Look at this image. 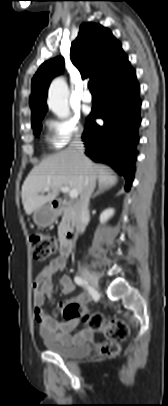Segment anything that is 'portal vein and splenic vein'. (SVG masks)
Instances as JSON below:
<instances>
[{
  "instance_id": "18ae733b",
  "label": "portal vein and splenic vein",
  "mask_w": 168,
  "mask_h": 406,
  "mask_svg": "<svg viewBox=\"0 0 168 406\" xmlns=\"http://www.w3.org/2000/svg\"><path fill=\"white\" fill-rule=\"evenodd\" d=\"M60 189H61V191H63V192H68L70 198H77V196H78L77 190H74V189L71 190L68 186H61ZM44 190H45V191H48V190H49V187H46Z\"/></svg>"
}]
</instances>
